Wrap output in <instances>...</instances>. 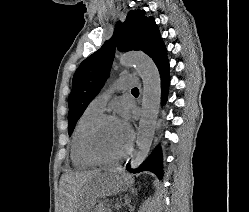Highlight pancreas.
Returning a JSON list of instances; mask_svg holds the SVG:
<instances>
[{
	"label": "pancreas",
	"instance_id": "pancreas-1",
	"mask_svg": "<svg viewBox=\"0 0 249 212\" xmlns=\"http://www.w3.org/2000/svg\"><path fill=\"white\" fill-rule=\"evenodd\" d=\"M94 212H111V210L104 208L103 204H98V206H95Z\"/></svg>",
	"mask_w": 249,
	"mask_h": 212
}]
</instances>
